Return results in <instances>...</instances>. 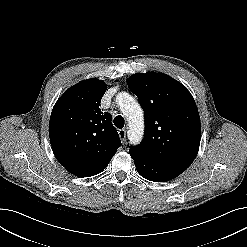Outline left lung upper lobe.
Instances as JSON below:
<instances>
[{"label":"left lung upper lobe","instance_id":"obj_1","mask_svg":"<svg viewBox=\"0 0 247 247\" xmlns=\"http://www.w3.org/2000/svg\"><path fill=\"white\" fill-rule=\"evenodd\" d=\"M145 114V137L129 152L149 159L189 167L200 145V117L189 91L171 77L155 72L127 80Z\"/></svg>","mask_w":247,"mask_h":247}]
</instances>
